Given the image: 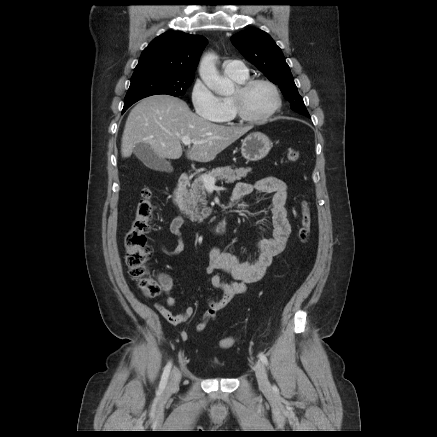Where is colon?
<instances>
[{
	"instance_id": "obj_1",
	"label": "colon",
	"mask_w": 437,
	"mask_h": 437,
	"mask_svg": "<svg viewBox=\"0 0 437 437\" xmlns=\"http://www.w3.org/2000/svg\"><path fill=\"white\" fill-rule=\"evenodd\" d=\"M299 157L300 153L297 149H287L286 158L289 162H296ZM154 210L153 193L151 189L144 188L141 191L140 199L136 206L135 217L130 229L124 236L125 262L129 273L138 282L143 294L148 298L158 296L163 289L161 278L152 275L148 267L152 252L147 244V234L151 229ZM311 225L312 218L309 206L306 202H303L298 232L302 243H306L309 240ZM235 341L236 339L232 336L225 337L220 341V347L228 349L234 345Z\"/></svg>"
}]
</instances>
